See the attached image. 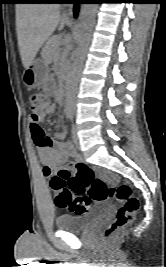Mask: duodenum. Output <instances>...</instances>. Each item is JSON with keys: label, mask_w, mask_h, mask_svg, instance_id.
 I'll return each mask as SVG.
<instances>
[{"label": "duodenum", "mask_w": 166, "mask_h": 267, "mask_svg": "<svg viewBox=\"0 0 166 267\" xmlns=\"http://www.w3.org/2000/svg\"><path fill=\"white\" fill-rule=\"evenodd\" d=\"M69 83H70V77L69 75H65L62 80V86L64 90L67 89Z\"/></svg>", "instance_id": "obj_1"}]
</instances>
